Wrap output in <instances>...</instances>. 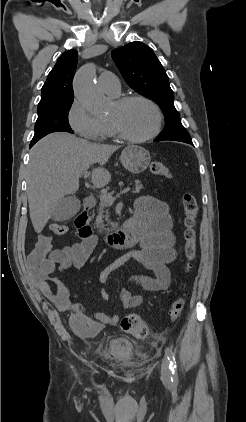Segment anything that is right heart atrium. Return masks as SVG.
Masks as SVG:
<instances>
[{
    "mask_svg": "<svg viewBox=\"0 0 246 422\" xmlns=\"http://www.w3.org/2000/svg\"><path fill=\"white\" fill-rule=\"evenodd\" d=\"M70 127L80 137L89 141H100L107 135V125L93 117L84 105L75 99L68 111Z\"/></svg>",
    "mask_w": 246,
    "mask_h": 422,
    "instance_id": "d8ad5b80",
    "label": "right heart atrium"
}]
</instances>
